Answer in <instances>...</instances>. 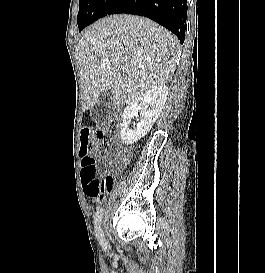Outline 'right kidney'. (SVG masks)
Masks as SVG:
<instances>
[{
  "mask_svg": "<svg viewBox=\"0 0 265 273\" xmlns=\"http://www.w3.org/2000/svg\"><path fill=\"white\" fill-rule=\"evenodd\" d=\"M168 87L165 84L156 85L136 97L124 109L122 114L121 139L131 145L143 138L152 128L166 103ZM140 117L137 128H129L133 117Z\"/></svg>",
  "mask_w": 265,
  "mask_h": 273,
  "instance_id": "1",
  "label": "right kidney"
}]
</instances>
